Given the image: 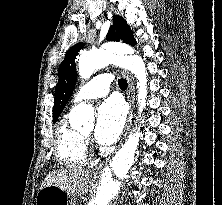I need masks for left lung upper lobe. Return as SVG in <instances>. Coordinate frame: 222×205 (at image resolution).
Masks as SVG:
<instances>
[{
    "mask_svg": "<svg viewBox=\"0 0 222 205\" xmlns=\"http://www.w3.org/2000/svg\"><path fill=\"white\" fill-rule=\"evenodd\" d=\"M110 41H124L127 44L135 45L133 32L127 22L118 15H113V24L106 36ZM84 47L80 42L72 46L65 55V59L59 66V80L55 88V104L53 109V123H55L66 106L76 84V65L75 59L78 51Z\"/></svg>",
    "mask_w": 222,
    "mask_h": 205,
    "instance_id": "obj_1",
    "label": "left lung upper lobe"
}]
</instances>
